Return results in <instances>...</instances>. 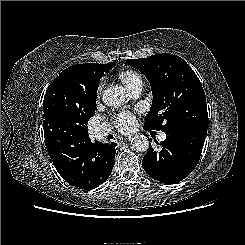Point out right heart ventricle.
<instances>
[{
  "label": "right heart ventricle",
  "mask_w": 245,
  "mask_h": 245,
  "mask_svg": "<svg viewBox=\"0 0 245 245\" xmlns=\"http://www.w3.org/2000/svg\"><path fill=\"white\" fill-rule=\"evenodd\" d=\"M119 78L129 91H131L138 84L143 83L142 76L135 70L121 71L119 73Z\"/></svg>",
  "instance_id": "right-heart-ventricle-1"
}]
</instances>
